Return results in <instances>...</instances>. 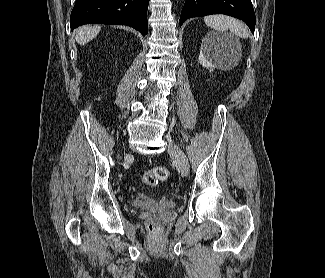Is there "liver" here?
I'll use <instances>...</instances> for the list:
<instances>
[{"instance_id":"1","label":"liver","mask_w":325,"mask_h":278,"mask_svg":"<svg viewBox=\"0 0 325 278\" xmlns=\"http://www.w3.org/2000/svg\"><path fill=\"white\" fill-rule=\"evenodd\" d=\"M100 29L99 25L80 27L76 30L75 39L78 44L84 45L94 39L100 32Z\"/></svg>"}]
</instances>
